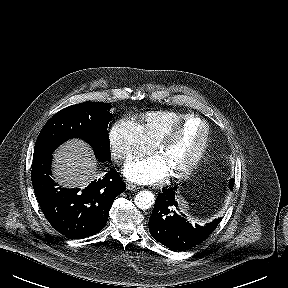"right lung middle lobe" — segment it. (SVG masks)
<instances>
[{
	"label": "right lung middle lobe",
	"mask_w": 288,
	"mask_h": 288,
	"mask_svg": "<svg viewBox=\"0 0 288 288\" xmlns=\"http://www.w3.org/2000/svg\"><path fill=\"white\" fill-rule=\"evenodd\" d=\"M110 103L83 102L56 113L42 128L34 149V156L51 154L70 138L85 140L99 160L110 158L107 127L111 121Z\"/></svg>",
	"instance_id": "right-lung-middle-lobe-1"
}]
</instances>
